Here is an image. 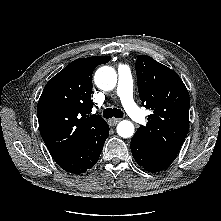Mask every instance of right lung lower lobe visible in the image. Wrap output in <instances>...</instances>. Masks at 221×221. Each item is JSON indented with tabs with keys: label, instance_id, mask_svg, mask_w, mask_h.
Segmentation results:
<instances>
[{
	"label": "right lung lower lobe",
	"instance_id": "right-lung-lower-lobe-1",
	"mask_svg": "<svg viewBox=\"0 0 221 221\" xmlns=\"http://www.w3.org/2000/svg\"><path fill=\"white\" fill-rule=\"evenodd\" d=\"M109 135V126L106 123L85 142L64 158L56 161L57 164L70 173L80 174L92 168L102 152L106 138Z\"/></svg>",
	"mask_w": 221,
	"mask_h": 221
}]
</instances>
